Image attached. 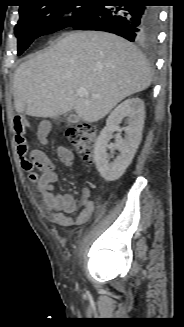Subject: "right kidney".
Masks as SVG:
<instances>
[{
    "label": "right kidney",
    "mask_w": 184,
    "mask_h": 327,
    "mask_svg": "<svg viewBox=\"0 0 184 327\" xmlns=\"http://www.w3.org/2000/svg\"><path fill=\"white\" fill-rule=\"evenodd\" d=\"M125 119V136H117L114 147L120 154L109 162L112 157L107 153L108 143L112 134L120 131L119 124ZM145 119L144 102L140 98H129L119 104L109 115L106 126L101 131L94 147V161L100 175L107 181L120 178L130 165L142 139Z\"/></svg>",
    "instance_id": "obj_1"
}]
</instances>
